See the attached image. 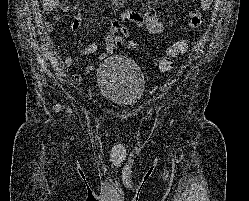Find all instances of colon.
Returning <instances> with one entry per match:
<instances>
[{"instance_id": "obj_1", "label": "colon", "mask_w": 249, "mask_h": 201, "mask_svg": "<svg viewBox=\"0 0 249 201\" xmlns=\"http://www.w3.org/2000/svg\"><path fill=\"white\" fill-rule=\"evenodd\" d=\"M119 44V43H118ZM132 48H136V43H131ZM188 49V44L185 40H178L171 46V50L164 57H162L158 63V68L162 72H167L172 69L174 65V59L184 54Z\"/></svg>"}]
</instances>
